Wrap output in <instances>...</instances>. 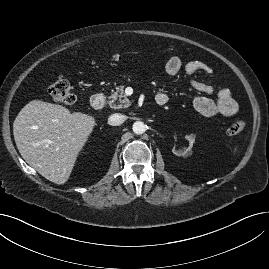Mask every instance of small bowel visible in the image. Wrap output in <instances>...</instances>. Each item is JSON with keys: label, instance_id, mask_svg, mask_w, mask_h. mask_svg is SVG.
Instances as JSON below:
<instances>
[{"label": "small bowel", "instance_id": "c3829d8e", "mask_svg": "<svg viewBox=\"0 0 269 269\" xmlns=\"http://www.w3.org/2000/svg\"><path fill=\"white\" fill-rule=\"evenodd\" d=\"M165 70L167 74L172 77L178 76L182 70L188 76H192L200 71L208 74L212 73V69L201 61L191 60L183 64L182 60L177 56L170 57L166 61ZM190 83L196 91L205 95H213L215 97L214 99L207 96L195 97L193 106L203 116L213 117L216 115H222L225 117H231L237 113L238 104L229 90L217 89L208 83L196 79H191ZM160 95H164L166 97V95L159 90L156 94V99Z\"/></svg>", "mask_w": 269, "mask_h": 269}]
</instances>
